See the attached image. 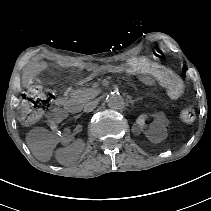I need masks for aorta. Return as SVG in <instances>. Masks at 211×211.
<instances>
[{"mask_svg":"<svg viewBox=\"0 0 211 211\" xmlns=\"http://www.w3.org/2000/svg\"><path fill=\"white\" fill-rule=\"evenodd\" d=\"M107 105L112 109H122L124 107V99L119 93H111L106 98Z\"/></svg>","mask_w":211,"mask_h":211,"instance_id":"aorta-1","label":"aorta"}]
</instances>
